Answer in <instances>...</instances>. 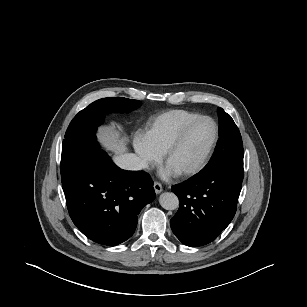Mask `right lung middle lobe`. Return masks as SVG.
Wrapping results in <instances>:
<instances>
[{
	"label": "right lung middle lobe",
	"instance_id": "obj_1",
	"mask_svg": "<svg viewBox=\"0 0 307 307\" xmlns=\"http://www.w3.org/2000/svg\"><path fill=\"white\" fill-rule=\"evenodd\" d=\"M141 105L122 97L99 99L81 110L71 121L62 144L61 178L71 174L93 150L99 148L95 132L109 112H128Z\"/></svg>",
	"mask_w": 307,
	"mask_h": 307
}]
</instances>
